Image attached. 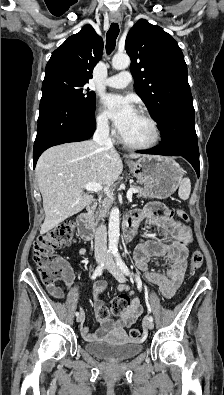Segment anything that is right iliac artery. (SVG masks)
I'll return each mask as SVG.
<instances>
[{
	"instance_id": "1",
	"label": "right iliac artery",
	"mask_w": 224,
	"mask_h": 395,
	"mask_svg": "<svg viewBox=\"0 0 224 395\" xmlns=\"http://www.w3.org/2000/svg\"><path fill=\"white\" fill-rule=\"evenodd\" d=\"M110 254H111V252L108 251L107 252V257H110ZM104 265H105V263L103 262L96 268V270L94 271V273L92 275V280H95L98 276H100L102 274L103 269H104ZM75 315L79 316V312H76Z\"/></svg>"
}]
</instances>
